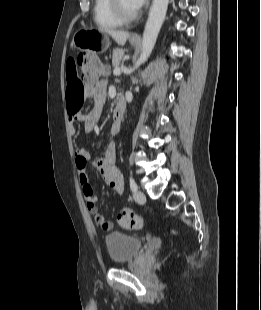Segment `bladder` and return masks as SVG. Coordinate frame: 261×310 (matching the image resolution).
Instances as JSON below:
<instances>
[{
    "mask_svg": "<svg viewBox=\"0 0 261 310\" xmlns=\"http://www.w3.org/2000/svg\"><path fill=\"white\" fill-rule=\"evenodd\" d=\"M105 244L111 261L122 264L137 256L144 242L135 235L114 231L106 235Z\"/></svg>",
    "mask_w": 261,
    "mask_h": 310,
    "instance_id": "obj_1",
    "label": "bladder"
}]
</instances>
